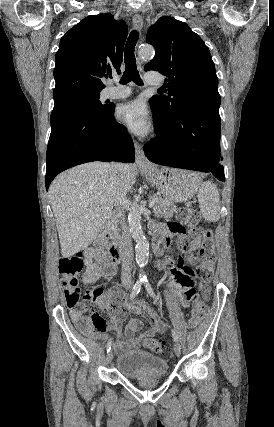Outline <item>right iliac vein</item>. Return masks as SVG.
<instances>
[{
	"label": "right iliac vein",
	"instance_id": "right-iliac-vein-1",
	"mask_svg": "<svg viewBox=\"0 0 274 427\" xmlns=\"http://www.w3.org/2000/svg\"><path fill=\"white\" fill-rule=\"evenodd\" d=\"M125 286L127 288H129V285L127 283H125ZM113 359H114V354H113L112 350H110L106 356L107 364L110 365L112 363Z\"/></svg>",
	"mask_w": 274,
	"mask_h": 427
}]
</instances>
